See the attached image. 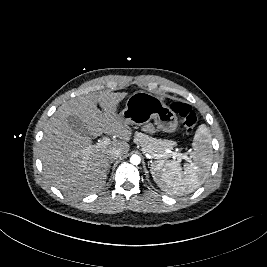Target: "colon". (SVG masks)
I'll list each match as a JSON object with an SVG mask.
<instances>
[{
    "instance_id": "colon-1",
    "label": "colon",
    "mask_w": 267,
    "mask_h": 267,
    "mask_svg": "<svg viewBox=\"0 0 267 267\" xmlns=\"http://www.w3.org/2000/svg\"><path fill=\"white\" fill-rule=\"evenodd\" d=\"M171 108L181 118L186 132H192L198 122L197 113L192 109V107L181 102H174L171 105Z\"/></svg>"
}]
</instances>
